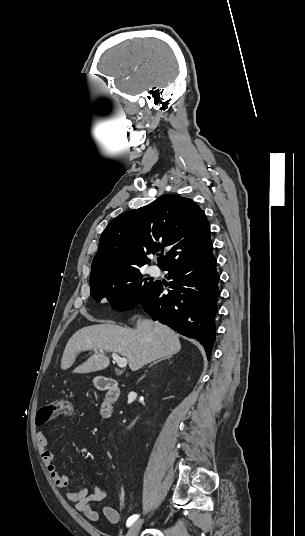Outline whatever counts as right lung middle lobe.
<instances>
[{"mask_svg": "<svg viewBox=\"0 0 305 536\" xmlns=\"http://www.w3.org/2000/svg\"><path fill=\"white\" fill-rule=\"evenodd\" d=\"M140 270H134L123 275L90 282L91 296L97 302L106 298L117 311L133 308L149 293L153 282H144Z\"/></svg>", "mask_w": 305, "mask_h": 536, "instance_id": "obj_1", "label": "right lung middle lobe"}]
</instances>
